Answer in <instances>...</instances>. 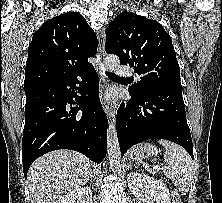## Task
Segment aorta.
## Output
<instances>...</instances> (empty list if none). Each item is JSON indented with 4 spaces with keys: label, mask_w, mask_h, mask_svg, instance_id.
I'll use <instances>...</instances> for the list:
<instances>
[{
    "label": "aorta",
    "mask_w": 222,
    "mask_h": 203,
    "mask_svg": "<svg viewBox=\"0 0 222 203\" xmlns=\"http://www.w3.org/2000/svg\"><path fill=\"white\" fill-rule=\"evenodd\" d=\"M119 64V58L117 55L109 54L105 58V68L109 72H113ZM107 154L109 157L110 166L116 171H120L122 167L121 163V151L118 142L117 132L115 124L109 123L107 130Z\"/></svg>",
    "instance_id": "762f6f07"
}]
</instances>
